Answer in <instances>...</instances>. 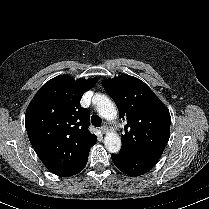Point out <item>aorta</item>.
Wrapping results in <instances>:
<instances>
[{"mask_svg":"<svg viewBox=\"0 0 209 209\" xmlns=\"http://www.w3.org/2000/svg\"><path fill=\"white\" fill-rule=\"evenodd\" d=\"M94 102L99 115L108 120L112 121L116 119L117 109L114 103L103 94H96L94 96ZM105 148L111 153H118L121 149V138L115 132H108L104 137Z\"/></svg>","mask_w":209,"mask_h":209,"instance_id":"aorta-1","label":"aorta"}]
</instances>
